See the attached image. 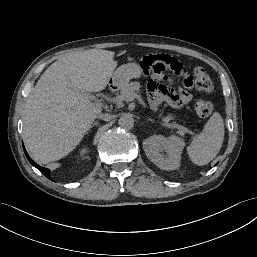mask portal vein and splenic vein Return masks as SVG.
<instances>
[{"label":"portal vein and splenic vein","instance_id":"18ae733b","mask_svg":"<svg viewBox=\"0 0 257 257\" xmlns=\"http://www.w3.org/2000/svg\"><path fill=\"white\" fill-rule=\"evenodd\" d=\"M88 96L91 99H95L94 96H90V95H88ZM136 97H137V95L135 93H131L127 96V100L128 101H133ZM97 102H99V101L97 100ZM172 126L178 128L182 134L184 132H187V129L185 127L181 126V125H172Z\"/></svg>","mask_w":257,"mask_h":257}]
</instances>
